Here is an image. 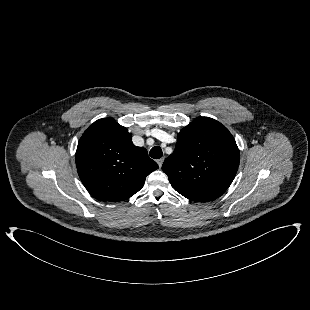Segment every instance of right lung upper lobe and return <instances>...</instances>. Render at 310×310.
Masks as SVG:
<instances>
[{"label":"right lung upper lobe","mask_w":310,"mask_h":310,"mask_svg":"<svg viewBox=\"0 0 310 310\" xmlns=\"http://www.w3.org/2000/svg\"><path fill=\"white\" fill-rule=\"evenodd\" d=\"M127 128L112 118L94 122L82 135L76 151L78 175L101 201L119 202L138 192L147 175L158 168L143 147L132 143Z\"/></svg>","instance_id":"right-lung-upper-lobe-1"}]
</instances>
